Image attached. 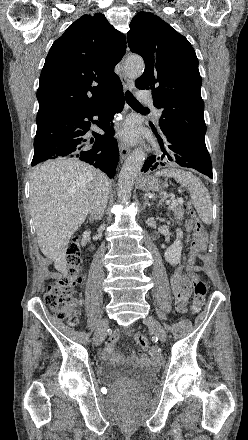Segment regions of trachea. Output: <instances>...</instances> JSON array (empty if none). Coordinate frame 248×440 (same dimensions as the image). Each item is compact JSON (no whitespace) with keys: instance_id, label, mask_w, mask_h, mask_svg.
<instances>
[{"instance_id":"trachea-1","label":"trachea","mask_w":248,"mask_h":440,"mask_svg":"<svg viewBox=\"0 0 248 440\" xmlns=\"http://www.w3.org/2000/svg\"><path fill=\"white\" fill-rule=\"evenodd\" d=\"M125 99L127 101V103L134 109H140V110H145L148 111L147 108L143 107L140 102L132 95V93L130 91H126L125 93Z\"/></svg>"}]
</instances>
